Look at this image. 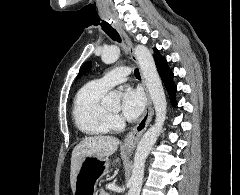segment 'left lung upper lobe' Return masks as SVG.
<instances>
[{
  "label": "left lung upper lobe",
  "mask_w": 240,
  "mask_h": 195,
  "mask_svg": "<svg viewBox=\"0 0 240 195\" xmlns=\"http://www.w3.org/2000/svg\"><path fill=\"white\" fill-rule=\"evenodd\" d=\"M153 50H154V53H155V55H154L155 60L158 59V58H160L161 55L159 54L158 49H157V48H153ZM90 67H91V62H86V63L81 67V69H80V71H79V74H78V76H77L76 79L80 78Z\"/></svg>",
  "instance_id": "left-lung-upper-lobe-1"
}]
</instances>
